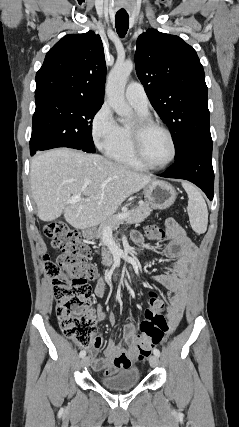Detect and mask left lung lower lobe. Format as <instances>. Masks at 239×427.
<instances>
[{"label": "left lung lower lobe", "mask_w": 239, "mask_h": 427, "mask_svg": "<svg viewBox=\"0 0 239 427\" xmlns=\"http://www.w3.org/2000/svg\"><path fill=\"white\" fill-rule=\"evenodd\" d=\"M159 176L188 180L201 188L212 200L214 195L212 140H199L189 144L175 156V163Z\"/></svg>", "instance_id": "0a47b994"}]
</instances>
